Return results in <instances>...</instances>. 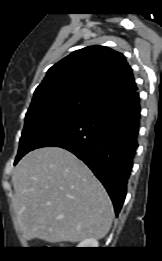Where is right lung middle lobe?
Wrapping results in <instances>:
<instances>
[{
    "label": "right lung middle lobe",
    "instance_id": "right-lung-middle-lobe-1",
    "mask_svg": "<svg viewBox=\"0 0 162 261\" xmlns=\"http://www.w3.org/2000/svg\"><path fill=\"white\" fill-rule=\"evenodd\" d=\"M101 102L78 92L32 100L25 117L15 163L56 128L94 109Z\"/></svg>",
    "mask_w": 162,
    "mask_h": 261
}]
</instances>
